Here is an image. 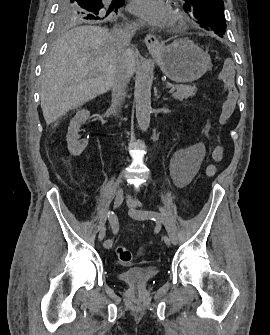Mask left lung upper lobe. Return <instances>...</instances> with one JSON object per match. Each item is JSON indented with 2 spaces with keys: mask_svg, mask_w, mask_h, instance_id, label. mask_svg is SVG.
Returning <instances> with one entry per match:
<instances>
[{
  "mask_svg": "<svg viewBox=\"0 0 270 335\" xmlns=\"http://www.w3.org/2000/svg\"><path fill=\"white\" fill-rule=\"evenodd\" d=\"M184 11L190 14L200 27L218 34H225L226 20L223 0H184Z\"/></svg>",
  "mask_w": 270,
  "mask_h": 335,
  "instance_id": "5c2ea615",
  "label": "left lung upper lobe"
}]
</instances>
